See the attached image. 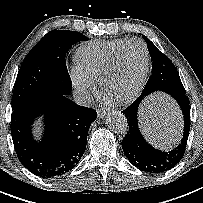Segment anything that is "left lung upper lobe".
<instances>
[{"mask_svg":"<svg viewBox=\"0 0 203 203\" xmlns=\"http://www.w3.org/2000/svg\"><path fill=\"white\" fill-rule=\"evenodd\" d=\"M151 55L152 75L143 90L145 96L155 92L163 91L167 94H185V89L180 80L179 73L172 61L143 35Z\"/></svg>","mask_w":203,"mask_h":203,"instance_id":"left-lung-upper-lobe-1","label":"left lung upper lobe"}]
</instances>
